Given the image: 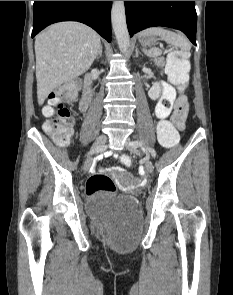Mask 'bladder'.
<instances>
[{
	"label": "bladder",
	"instance_id": "31cf9c89",
	"mask_svg": "<svg viewBox=\"0 0 233 295\" xmlns=\"http://www.w3.org/2000/svg\"><path fill=\"white\" fill-rule=\"evenodd\" d=\"M89 206L102 214H137L140 209L137 200L131 196L120 197L104 204H96L91 201Z\"/></svg>",
	"mask_w": 233,
	"mask_h": 295
}]
</instances>
